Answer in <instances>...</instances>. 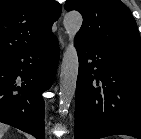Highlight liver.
Listing matches in <instances>:
<instances>
[{
	"label": "liver",
	"mask_w": 141,
	"mask_h": 139,
	"mask_svg": "<svg viewBox=\"0 0 141 139\" xmlns=\"http://www.w3.org/2000/svg\"><path fill=\"white\" fill-rule=\"evenodd\" d=\"M9 126L6 124L0 123V139H2L4 133L8 130Z\"/></svg>",
	"instance_id": "liver-1"
}]
</instances>
